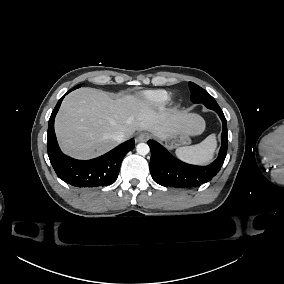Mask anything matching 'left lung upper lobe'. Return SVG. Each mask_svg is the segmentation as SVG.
<instances>
[{
    "instance_id": "obj_1",
    "label": "left lung upper lobe",
    "mask_w": 284,
    "mask_h": 284,
    "mask_svg": "<svg viewBox=\"0 0 284 284\" xmlns=\"http://www.w3.org/2000/svg\"><path fill=\"white\" fill-rule=\"evenodd\" d=\"M191 101L193 103L216 102L215 99L203 88L193 82H189Z\"/></svg>"
}]
</instances>
